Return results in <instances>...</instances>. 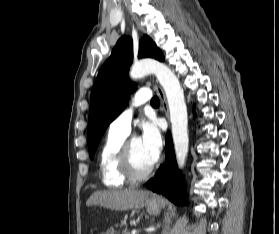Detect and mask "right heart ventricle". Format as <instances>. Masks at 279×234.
<instances>
[{
    "label": "right heart ventricle",
    "mask_w": 279,
    "mask_h": 234,
    "mask_svg": "<svg viewBox=\"0 0 279 234\" xmlns=\"http://www.w3.org/2000/svg\"><path fill=\"white\" fill-rule=\"evenodd\" d=\"M125 137L126 134L110 131L101 147L99 168L102 182L107 187H121L128 182L119 168L120 148Z\"/></svg>",
    "instance_id": "obj_1"
}]
</instances>
